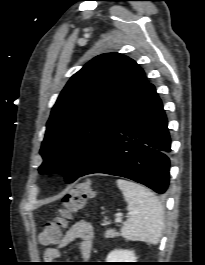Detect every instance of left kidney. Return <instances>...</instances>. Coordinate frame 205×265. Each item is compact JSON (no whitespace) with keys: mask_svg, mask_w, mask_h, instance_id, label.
I'll return each mask as SVG.
<instances>
[{"mask_svg":"<svg viewBox=\"0 0 205 265\" xmlns=\"http://www.w3.org/2000/svg\"><path fill=\"white\" fill-rule=\"evenodd\" d=\"M136 259L132 250H114L106 258L107 262H136Z\"/></svg>","mask_w":205,"mask_h":265,"instance_id":"left-kidney-1","label":"left kidney"}]
</instances>
